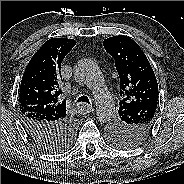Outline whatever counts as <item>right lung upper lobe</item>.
<instances>
[{
	"label": "right lung upper lobe",
	"instance_id": "right-lung-upper-lobe-1",
	"mask_svg": "<svg viewBox=\"0 0 184 184\" xmlns=\"http://www.w3.org/2000/svg\"><path fill=\"white\" fill-rule=\"evenodd\" d=\"M76 41L52 38L29 61L22 77L19 102L21 115L28 113L49 121L66 118V101H61V63Z\"/></svg>",
	"mask_w": 184,
	"mask_h": 184
}]
</instances>
